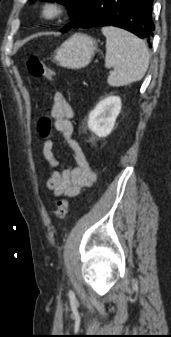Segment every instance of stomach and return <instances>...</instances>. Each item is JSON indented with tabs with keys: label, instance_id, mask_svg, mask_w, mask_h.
<instances>
[{
	"label": "stomach",
	"instance_id": "stomach-1",
	"mask_svg": "<svg viewBox=\"0 0 171 337\" xmlns=\"http://www.w3.org/2000/svg\"><path fill=\"white\" fill-rule=\"evenodd\" d=\"M96 50L97 43L93 38L77 33L55 51L54 60L62 67L80 69L91 62Z\"/></svg>",
	"mask_w": 171,
	"mask_h": 337
}]
</instances>
